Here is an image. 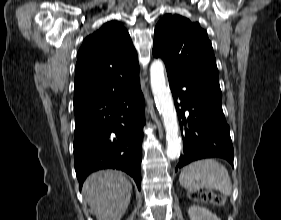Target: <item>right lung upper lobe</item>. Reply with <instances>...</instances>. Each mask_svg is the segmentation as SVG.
<instances>
[{
  "label": "right lung upper lobe",
  "instance_id": "right-lung-upper-lobe-1",
  "mask_svg": "<svg viewBox=\"0 0 281 220\" xmlns=\"http://www.w3.org/2000/svg\"><path fill=\"white\" fill-rule=\"evenodd\" d=\"M139 79L137 53L118 21L86 37L77 54L74 110L132 86Z\"/></svg>",
  "mask_w": 281,
  "mask_h": 220
}]
</instances>
